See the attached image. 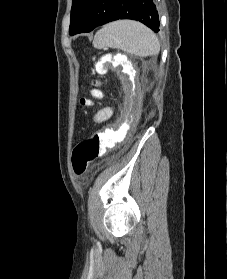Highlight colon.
Masks as SVG:
<instances>
[{
    "label": "colon",
    "mask_w": 227,
    "mask_h": 279,
    "mask_svg": "<svg viewBox=\"0 0 227 279\" xmlns=\"http://www.w3.org/2000/svg\"><path fill=\"white\" fill-rule=\"evenodd\" d=\"M106 61L104 58L98 59L94 64V70L98 74H103L106 71ZM104 93L101 89V83L98 80L93 81V88L89 95L80 99L82 106H91L93 99L103 98ZM116 133L111 129L105 128L96 131L89 137L79 142L72 154V168L76 175L81 176L87 169L88 165L94 160L104 156L109 147L114 143Z\"/></svg>",
    "instance_id": "5ec220e1"
}]
</instances>
